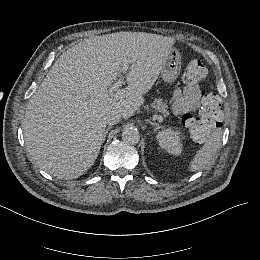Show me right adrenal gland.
Instances as JSON below:
<instances>
[{"label":"right adrenal gland","instance_id":"2a0ac1e0","mask_svg":"<svg viewBox=\"0 0 260 260\" xmlns=\"http://www.w3.org/2000/svg\"><path fill=\"white\" fill-rule=\"evenodd\" d=\"M110 129H111V126H109V127L106 129L105 134L108 133V132L110 131Z\"/></svg>","mask_w":260,"mask_h":260}]
</instances>
